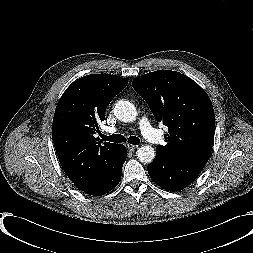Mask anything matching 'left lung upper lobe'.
Masks as SVG:
<instances>
[{
	"label": "left lung upper lobe",
	"mask_w": 253,
	"mask_h": 253,
	"mask_svg": "<svg viewBox=\"0 0 253 253\" xmlns=\"http://www.w3.org/2000/svg\"><path fill=\"white\" fill-rule=\"evenodd\" d=\"M132 86L156 120L169 129L167 144L158 145L156 154L206 163L215 133L214 110L207 93L186 75L171 70L139 76Z\"/></svg>",
	"instance_id": "obj_1"
}]
</instances>
